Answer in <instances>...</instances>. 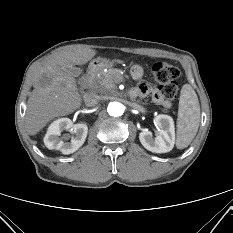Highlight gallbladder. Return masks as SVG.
<instances>
[{"label":"gallbladder","instance_id":"bac80fb5","mask_svg":"<svg viewBox=\"0 0 233 233\" xmlns=\"http://www.w3.org/2000/svg\"><path fill=\"white\" fill-rule=\"evenodd\" d=\"M68 71L74 76V77H79L80 74L82 73V70L77 67L69 68Z\"/></svg>","mask_w":233,"mask_h":233}]
</instances>
